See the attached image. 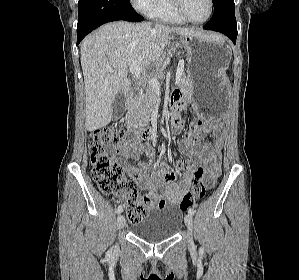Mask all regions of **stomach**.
Returning <instances> with one entry per match:
<instances>
[{"label": "stomach", "mask_w": 299, "mask_h": 280, "mask_svg": "<svg viewBox=\"0 0 299 280\" xmlns=\"http://www.w3.org/2000/svg\"><path fill=\"white\" fill-rule=\"evenodd\" d=\"M188 53V77L194 111L201 117H221L227 109L225 71L231 48L216 34L179 37Z\"/></svg>", "instance_id": "stomach-1"}]
</instances>
